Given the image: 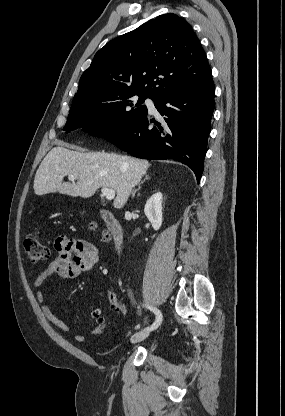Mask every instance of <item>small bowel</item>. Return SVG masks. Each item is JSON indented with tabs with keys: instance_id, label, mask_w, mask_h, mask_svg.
<instances>
[{
	"instance_id": "small-bowel-1",
	"label": "small bowel",
	"mask_w": 285,
	"mask_h": 416,
	"mask_svg": "<svg viewBox=\"0 0 285 416\" xmlns=\"http://www.w3.org/2000/svg\"><path fill=\"white\" fill-rule=\"evenodd\" d=\"M55 250L57 252L56 258L53 259L44 271L35 279L34 286L39 288L36 297L44 317L57 329L63 332H69V326L62 321L46 303L45 294L41 288L46 280L51 277L70 280L77 278L82 273L90 271L98 262V249L94 244L86 240L61 236L55 242ZM104 331L105 324L100 327H94L87 334H75L74 338L76 341L82 342L87 336H100Z\"/></svg>"
}]
</instances>
